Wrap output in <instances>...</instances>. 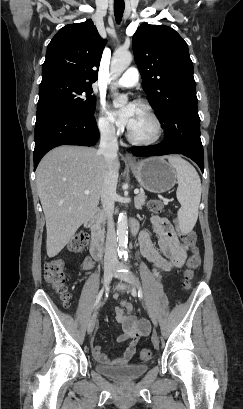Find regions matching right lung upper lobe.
Instances as JSON below:
<instances>
[{
  "label": "right lung upper lobe",
  "instance_id": "right-lung-upper-lobe-1",
  "mask_svg": "<svg viewBox=\"0 0 243 409\" xmlns=\"http://www.w3.org/2000/svg\"><path fill=\"white\" fill-rule=\"evenodd\" d=\"M105 44L90 19L64 26L48 45L42 80L59 77L91 86L98 78Z\"/></svg>",
  "mask_w": 243,
  "mask_h": 409
}]
</instances>
